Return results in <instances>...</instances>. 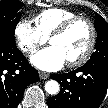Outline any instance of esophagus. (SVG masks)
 Returning <instances> with one entry per match:
<instances>
[{"label": "esophagus", "instance_id": "esophagus-1", "mask_svg": "<svg viewBox=\"0 0 108 108\" xmlns=\"http://www.w3.org/2000/svg\"><path fill=\"white\" fill-rule=\"evenodd\" d=\"M40 79H47L49 74L46 72H39Z\"/></svg>", "mask_w": 108, "mask_h": 108}]
</instances>
